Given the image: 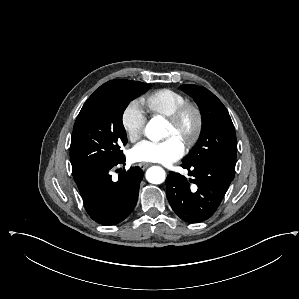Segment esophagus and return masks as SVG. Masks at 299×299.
<instances>
[{"label": "esophagus", "instance_id": "34e87169", "mask_svg": "<svg viewBox=\"0 0 299 299\" xmlns=\"http://www.w3.org/2000/svg\"><path fill=\"white\" fill-rule=\"evenodd\" d=\"M150 164L149 163H139L138 166L141 170H145Z\"/></svg>", "mask_w": 299, "mask_h": 299}]
</instances>
